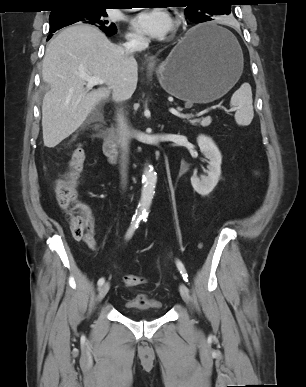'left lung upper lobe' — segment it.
<instances>
[{
  "mask_svg": "<svg viewBox=\"0 0 306 387\" xmlns=\"http://www.w3.org/2000/svg\"><path fill=\"white\" fill-rule=\"evenodd\" d=\"M230 0H182L186 4L185 14L195 23L213 20L216 16L229 15Z\"/></svg>",
  "mask_w": 306,
  "mask_h": 387,
  "instance_id": "obj_1",
  "label": "left lung upper lobe"
}]
</instances>
